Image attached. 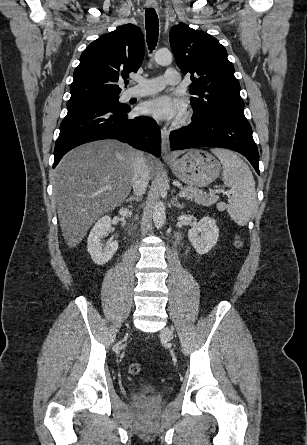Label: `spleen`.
<instances>
[{"label": "spleen", "instance_id": "1", "mask_svg": "<svg viewBox=\"0 0 307 445\" xmlns=\"http://www.w3.org/2000/svg\"><path fill=\"white\" fill-rule=\"evenodd\" d=\"M223 166L222 178L229 186L227 212L239 227L247 225L250 216L257 210L254 176L245 160L227 148H211Z\"/></svg>", "mask_w": 307, "mask_h": 445}]
</instances>
